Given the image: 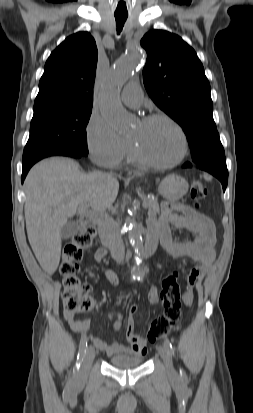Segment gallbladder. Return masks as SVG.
Instances as JSON below:
<instances>
[{"mask_svg": "<svg viewBox=\"0 0 253 413\" xmlns=\"http://www.w3.org/2000/svg\"><path fill=\"white\" fill-rule=\"evenodd\" d=\"M78 229L79 225L77 222L73 220L67 221L61 229V238L64 240L70 238L73 234H75L78 231Z\"/></svg>", "mask_w": 253, "mask_h": 413, "instance_id": "1", "label": "gallbladder"}]
</instances>
